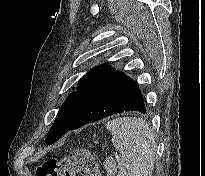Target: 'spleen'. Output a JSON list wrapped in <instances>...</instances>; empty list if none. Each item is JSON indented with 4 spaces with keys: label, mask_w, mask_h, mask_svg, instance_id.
Listing matches in <instances>:
<instances>
[{
    "label": "spleen",
    "mask_w": 205,
    "mask_h": 176,
    "mask_svg": "<svg viewBox=\"0 0 205 176\" xmlns=\"http://www.w3.org/2000/svg\"><path fill=\"white\" fill-rule=\"evenodd\" d=\"M106 128L122 155L117 176H152L156 142L149 124L141 118L122 117L107 122Z\"/></svg>",
    "instance_id": "spleen-1"
}]
</instances>
